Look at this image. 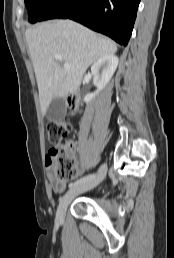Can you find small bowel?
Listing matches in <instances>:
<instances>
[{
  "mask_svg": "<svg viewBox=\"0 0 174 258\" xmlns=\"http://www.w3.org/2000/svg\"><path fill=\"white\" fill-rule=\"evenodd\" d=\"M82 163H83V158L80 157L79 160H78V166H77L78 173H77V175H80L83 172ZM48 178H49L50 186L55 192L63 191V189L65 188V185H66V181L61 180V179H59L55 176L53 164H50L48 166Z\"/></svg>",
  "mask_w": 174,
  "mask_h": 258,
  "instance_id": "small-bowel-1",
  "label": "small bowel"
}]
</instances>
